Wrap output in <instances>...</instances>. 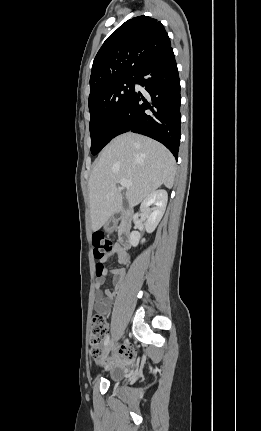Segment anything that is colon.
Wrapping results in <instances>:
<instances>
[{
  "mask_svg": "<svg viewBox=\"0 0 261 431\" xmlns=\"http://www.w3.org/2000/svg\"><path fill=\"white\" fill-rule=\"evenodd\" d=\"M94 256L99 261L96 264V275L101 276L104 270L103 261L112 252L114 243L103 234L93 235ZM106 319L103 315L97 314L92 318L90 331L91 355L94 359L101 354V344L106 332ZM121 354L125 358L132 356V349L128 346L122 347Z\"/></svg>",
  "mask_w": 261,
  "mask_h": 431,
  "instance_id": "obj_1",
  "label": "colon"
}]
</instances>
